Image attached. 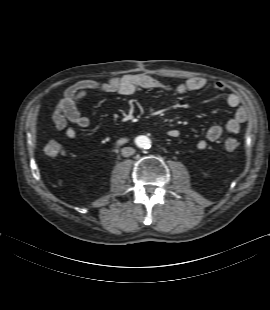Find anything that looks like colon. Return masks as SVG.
Here are the masks:
<instances>
[{"label": "colon", "mask_w": 270, "mask_h": 310, "mask_svg": "<svg viewBox=\"0 0 270 310\" xmlns=\"http://www.w3.org/2000/svg\"><path fill=\"white\" fill-rule=\"evenodd\" d=\"M223 146L226 151H235L239 147V140L235 137H228L224 140ZM44 151L48 157L57 158L63 154L64 149L60 142L56 140H50L46 144Z\"/></svg>", "instance_id": "obj_1"}]
</instances>
